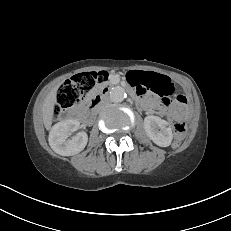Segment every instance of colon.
Segmentation results:
<instances>
[{
  "instance_id": "obj_1",
  "label": "colon",
  "mask_w": 231,
  "mask_h": 231,
  "mask_svg": "<svg viewBox=\"0 0 231 231\" xmlns=\"http://www.w3.org/2000/svg\"><path fill=\"white\" fill-rule=\"evenodd\" d=\"M109 74L105 71L99 72H85L75 75L70 80L66 81L59 89L56 103L54 105V116H59L64 110L78 105L88 92L94 87L100 85L108 80ZM134 81H139V75H131ZM131 85L135 88L138 86L132 82ZM173 126L175 131L174 147L179 146L185 131L186 123L181 118H174Z\"/></svg>"
}]
</instances>
